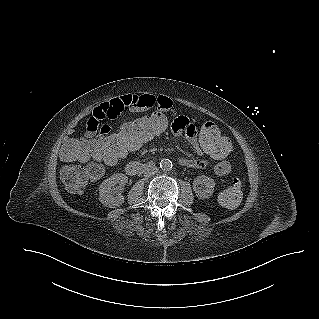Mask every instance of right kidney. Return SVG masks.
I'll list each match as a JSON object with an SVG mask.
<instances>
[{
  "label": "right kidney",
  "instance_id": "right-kidney-1",
  "mask_svg": "<svg viewBox=\"0 0 319 319\" xmlns=\"http://www.w3.org/2000/svg\"><path fill=\"white\" fill-rule=\"evenodd\" d=\"M127 182L128 177L122 173H116L104 180L99 186L100 202L109 208L122 205L124 203L122 192Z\"/></svg>",
  "mask_w": 319,
  "mask_h": 319
}]
</instances>
